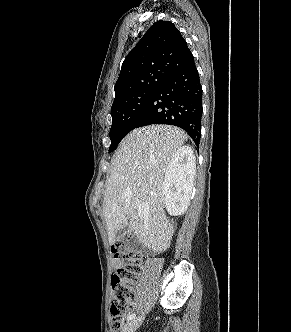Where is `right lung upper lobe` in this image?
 Masks as SVG:
<instances>
[{
  "mask_svg": "<svg viewBox=\"0 0 291 332\" xmlns=\"http://www.w3.org/2000/svg\"><path fill=\"white\" fill-rule=\"evenodd\" d=\"M194 58L186 41L170 21H157L125 58L115 84V100L162 81Z\"/></svg>",
  "mask_w": 291,
  "mask_h": 332,
  "instance_id": "cb5924a9",
  "label": "right lung upper lobe"
}]
</instances>
